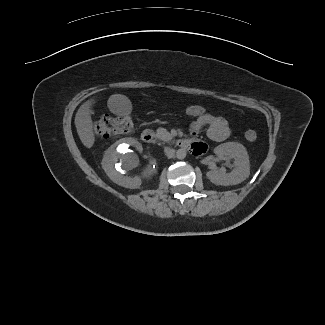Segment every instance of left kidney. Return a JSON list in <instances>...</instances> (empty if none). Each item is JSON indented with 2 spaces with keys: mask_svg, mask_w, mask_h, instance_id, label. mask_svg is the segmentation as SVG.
<instances>
[{
  "mask_svg": "<svg viewBox=\"0 0 325 325\" xmlns=\"http://www.w3.org/2000/svg\"><path fill=\"white\" fill-rule=\"evenodd\" d=\"M214 153L222 158L229 157L234 160V168L230 173L224 169L208 171L207 178L215 185H236L249 177L250 162L246 148L237 142H227L217 146Z\"/></svg>",
  "mask_w": 325,
  "mask_h": 325,
  "instance_id": "1",
  "label": "left kidney"
}]
</instances>
